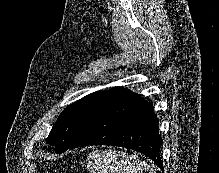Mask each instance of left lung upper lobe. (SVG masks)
Returning a JSON list of instances; mask_svg holds the SVG:
<instances>
[{"label":"left lung upper lobe","instance_id":"1","mask_svg":"<svg viewBox=\"0 0 219 173\" xmlns=\"http://www.w3.org/2000/svg\"><path fill=\"white\" fill-rule=\"evenodd\" d=\"M122 90L121 87H115L106 91H97L69 105L61 112L53 125L46 139L47 143L55 146L56 153L65 152L94 115Z\"/></svg>","mask_w":219,"mask_h":173}]
</instances>
